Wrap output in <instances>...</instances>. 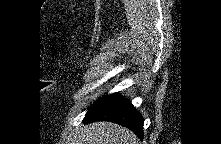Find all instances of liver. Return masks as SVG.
Here are the masks:
<instances>
[{
  "mask_svg": "<svg viewBox=\"0 0 221 144\" xmlns=\"http://www.w3.org/2000/svg\"><path fill=\"white\" fill-rule=\"evenodd\" d=\"M80 144H138L137 136L130 130L112 122H94L78 133Z\"/></svg>",
  "mask_w": 221,
  "mask_h": 144,
  "instance_id": "obj_1",
  "label": "liver"
}]
</instances>
